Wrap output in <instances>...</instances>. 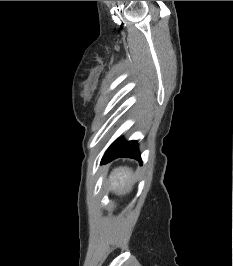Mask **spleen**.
<instances>
[{
  "label": "spleen",
  "mask_w": 233,
  "mask_h": 266,
  "mask_svg": "<svg viewBox=\"0 0 233 266\" xmlns=\"http://www.w3.org/2000/svg\"><path fill=\"white\" fill-rule=\"evenodd\" d=\"M132 174V170L127 167L116 168L110 176L111 189L114 192L121 194L125 190L126 186L131 183Z\"/></svg>",
  "instance_id": "spleen-1"
}]
</instances>
